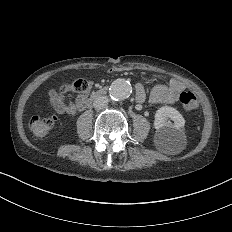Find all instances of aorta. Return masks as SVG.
I'll return each mask as SVG.
<instances>
[{"label":"aorta","mask_w":232,"mask_h":232,"mask_svg":"<svg viewBox=\"0 0 232 232\" xmlns=\"http://www.w3.org/2000/svg\"><path fill=\"white\" fill-rule=\"evenodd\" d=\"M132 87L130 83L124 79L115 80L110 89L109 95L113 100H123L130 96Z\"/></svg>","instance_id":"aorta-1"}]
</instances>
